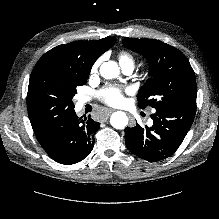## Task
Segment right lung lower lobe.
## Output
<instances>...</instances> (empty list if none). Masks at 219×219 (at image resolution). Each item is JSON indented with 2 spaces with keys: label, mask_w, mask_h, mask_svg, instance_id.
Listing matches in <instances>:
<instances>
[{
  "label": "right lung lower lobe",
  "mask_w": 219,
  "mask_h": 219,
  "mask_svg": "<svg viewBox=\"0 0 219 219\" xmlns=\"http://www.w3.org/2000/svg\"><path fill=\"white\" fill-rule=\"evenodd\" d=\"M31 124L37 140L55 161L70 165L86 158L94 146V134L100 123L90 116L77 117L74 109L64 112L41 125Z\"/></svg>",
  "instance_id": "1"
}]
</instances>
